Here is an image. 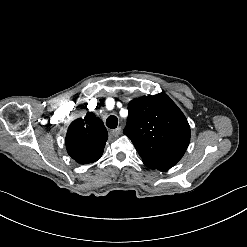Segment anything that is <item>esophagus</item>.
Instances as JSON below:
<instances>
[{
    "mask_svg": "<svg viewBox=\"0 0 247 247\" xmlns=\"http://www.w3.org/2000/svg\"><path fill=\"white\" fill-rule=\"evenodd\" d=\"M121 132V127H117L116 129L111 131V135L117 137Z\"/></svg>",
    "mask_w": 247,
    "mask_h": 247,
    "instance_id": "obj_1",
    "label": "esophagus"
}]
</instances>
